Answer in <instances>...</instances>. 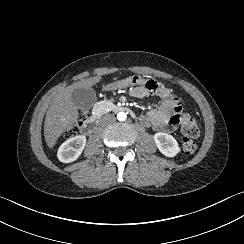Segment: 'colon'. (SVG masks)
<instances>
[{
  "label": "colon",
  "mask_w": 244,
  "mask_h": 244,
  "mask_svg": "<svg viewBox=\"0 0 244 244\" xmlns=\"http://www.w3.org/2000/svg\"><path fill=\"white\" fill-rule=\"evenodd\" d=\"M178 129L182 136L181 148L187 154H193L197 150V144L194 141L200 133L199 125L189 114L177 116Z\"/></svg>",
  "instance_id": "obj_1"
}]
</instances>
